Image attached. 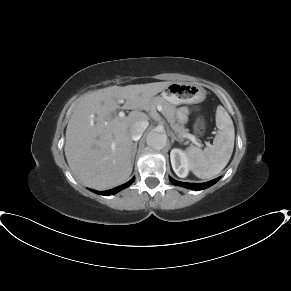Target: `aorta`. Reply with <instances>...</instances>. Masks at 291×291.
Segmentation results:
<instances>
[{"label": "aorta", "mask_w": 291, "mask_h": 291, "mask_svg": "<svg viewBox=\"0 0 291 291\" xmlns=\"http://www.w3.org/2000/svg\"><path fill=\"white\" fill-rule=\"evenodd\" d=\"M146 142L150 147L162 149L167 143V135L161 130H153L148 133Z\"/></svg>", "instance_id": "obj_1"}]
</instances>
